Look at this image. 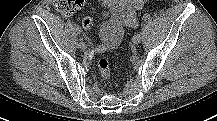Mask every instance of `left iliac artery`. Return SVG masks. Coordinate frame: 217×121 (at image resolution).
Here are the masks:
<instances>
[{"instance_id": "left-iliac-artery-1", "label": "left iliac artery", "mask_w": 217, "mask_h": 121, "mask_svg": "<svg viewBox=\"0 0 217 121\" xmlns=\"http://www.w3.org/2000/svg\"><path fill=\"white\" fill-rule=\"evenodd\" d=\"M150 19H151V17H150L149 14H145V15L143 16V20H144L145 22H148Z\"/></svg>"}]
</instances>
